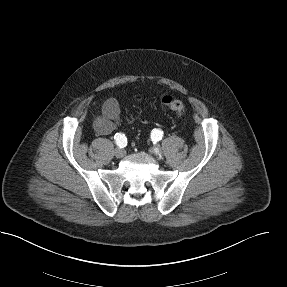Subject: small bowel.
<instances>
[{
    "mask_svg": "<svg viewBox=\"0 0 287 287\" xmlns=\"http://www.w3.org/2000/svg\"><path fill=\"white\" fill-rule=\"evenodd\" d=\"M120 119V104L115 98H110L103 104L101 113L94 119V130L99 135H109L118 126Z\"/></svg>",
    "mask_w": 287,
    "mask_h": 287,
    "instance_id": "obj_1",
    "label": "small bowel"
}]
</instances>
